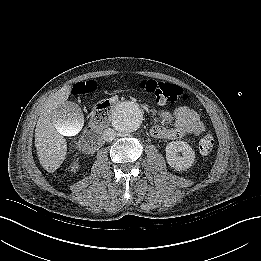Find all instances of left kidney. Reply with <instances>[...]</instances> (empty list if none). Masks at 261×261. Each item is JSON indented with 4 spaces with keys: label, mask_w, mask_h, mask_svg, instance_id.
<instances>
[{
    "label": "left kidney",
    "mask_w": 261,
    "mask_h": 261,
    "mask_svg": "<svg viewBox=\"0 0 261 261\" xmlns=\"http://www.w3.org/2000/svg\"><path fill=\"white\" fill-rule=\"evenodd\" d=\"M165 151L167 163L175 170H186L195 161V152L187 142L172 141L167 144Z\"/></svg>",
    "instance_id": "5707ae66"
}]
</instances>
